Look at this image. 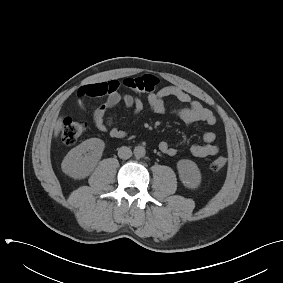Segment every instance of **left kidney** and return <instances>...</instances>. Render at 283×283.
<instances>
[{
	"label": "left kidney",
	"instance_id": "1",
	"mask_svg": "<svg viewBox=\"0 0 283 283\" xmlns=\"http://www.w3.org/2000/svg\"><path fill=\"white\" fill-rule=\"evenodd\" d=\"M177 169L179 177L186 187L195 189L200 185L201 173L195 162L187 159L179 160Z\"/></svg>",
	"mask_w": 283,
	"mask_h": 283
}]
</instances>
